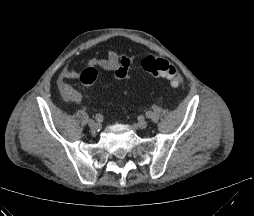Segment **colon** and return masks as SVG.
Here are the masks:
<instances>
[{"label":"colon","mask_w":254,"mask_h":216,"mask_svg":"<svg viewBox=\"0 0 254 216\" xmlns=\"http://www.w3.org/2000/svg\"><path fill=\"white\" fill-rule=\"evenodd\" d=\"M143 69L156 78H163L169 81L170 85L178 89L182 86L183 78L177 71L176 67L161 57H146L142 61ZM98 77V71L89 67L80 75V81L84 86H92Z\"/></svg>","instance_id":"obj_1"}]
</instances>
